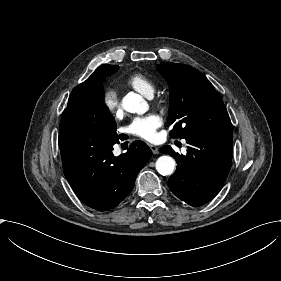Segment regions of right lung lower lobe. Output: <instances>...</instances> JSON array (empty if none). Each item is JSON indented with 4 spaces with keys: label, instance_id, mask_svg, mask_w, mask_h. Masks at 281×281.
<instances>
[{
    "label": "right lung lower lobe",
    "instance_id": "obj_1",
    "mask_svg": "<svg viewBox=\"0 0 281 281\" xmlns=\"http://www.w3.org/2000/svg\"><path fill=\"white\" fill-rule=\"evenodd\" d=\"M94 86L72 90L59 126V148L64 174L87 206L106 211L132 191L138 172L152 152L134 141L126 153L113 155L120 143L116 122Z\"/></svg>",
    "mask_w": 281,
    "mask_h": 281
}]
</instances>
